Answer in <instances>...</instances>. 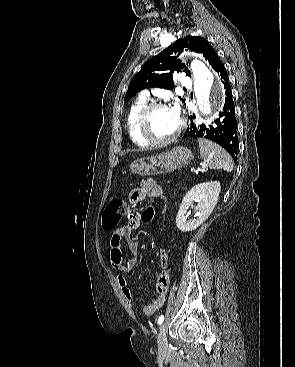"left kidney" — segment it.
Returning a JSON list of instances; mask_svg holds the SVG:
<instances>
[{
  "mask_svg": "<svg viewBox=\"0 0 295 367\" xmlns=\"http://www.w3.org/2000/svg\"><path fill=\"white\" fill-rule=\"evenodd\" d=\"M221 185L218 181L200 183L192 187L184 196L176 217V224L180 231L188 232L198 228L210 216L215 208ZM197 202L194 208L196 218L187 220L189 207Z\"/></svg>",
  "mask_w": 295,
  "mask_h": 367,
  "instance_id": "1",
  "label": "left kidney"
}]
</instances>
